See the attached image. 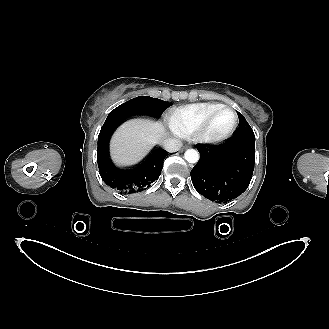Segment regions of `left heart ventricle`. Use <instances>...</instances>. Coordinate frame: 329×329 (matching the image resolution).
<instances>
[{
  "instance_id": "obj_1",
  "label": "left heart ventricle",
  "mask_w": 329,
  "mask_h": 329,
  "mask_svg": "<svg viewBox=\"0 0 329 329\" xmlns=\"http://www.w3.org/2000/svg\"><path fill=\"white\" fill-rule=\"evenodd\" d=\"M233 123V112L231 110H223L214 118L208 132L212 136L223 135L231 129Z\"/></svg>"
}]
</instances>
